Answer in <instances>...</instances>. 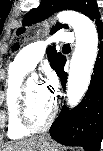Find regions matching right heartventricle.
<instances>
[{"label": "right heart ventricle", "mask_w": 103, "mask_h": 151, "mask_svg": "<svg viewBox=\"0 0 103 151\" xmlns=\"http://www.w3.org/2000/svg\"><path fill=\"white\" fill-rule=\"evenodd\" d=\"M28 70L20 66L15 60L9 67L5 86V109L7 116V134L10 139H21L31 131L23 128L17 117V106L23 77Z\"/></svg>", "instance_id": "e07e8e85"}]
</instances>
